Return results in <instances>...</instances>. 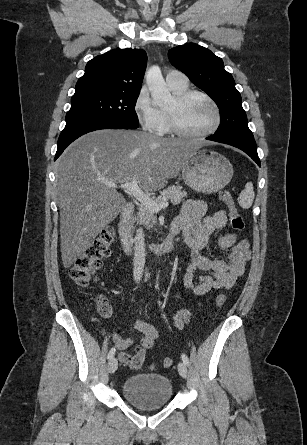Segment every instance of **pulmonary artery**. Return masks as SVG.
<instances>
[{"mask_svg": "<svg viewBox=\"0 0 307 445\" xmlns=\"http://www.w3.org/2000/svg\"><path fill=\"white\" fill-rule=\"evenodd\" d=\"M183 73L181 69H169L166 75V81L170 86L185 87L188 84L187 79H182Z\"/></svg>", "mask_w": 307, "mask_h": 445, "instance_id": "e3ab8cb5", "label": "pulmonary artery"}]
</instances>
